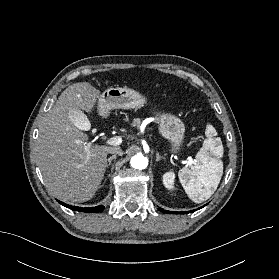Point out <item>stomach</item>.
<instances>
[{"mask_svg":"<svg viewBox=\"0 0 279 279\" xmlns=\"http://www.w3.org/2000/svg\"><path fill=\"white\" fill-rule=\"evenodd\" d=\"M146 104V97L128 87L108 88L98 98V110L102 117H107L113 109H134ZM159 133L168 140L171 151L177 153L183 143L185 125L177 116L170 113L156 112Z\"/></svg>","mask_w":279,"mask_h":279,"instance_id":"1","label":"stomach"}]
</instances>
